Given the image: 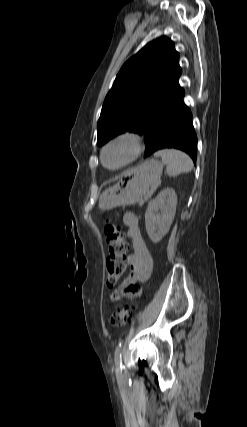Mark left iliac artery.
Returning <instances> with one entry per match:
<instances>
[{"mask_svg": "<svg viewBox=\"0 0 247 427\" xmlns=\"http://www.w3.org/2000/svg\"><path fill=\"white\" fill-rule=\"evenodd\" d=\"M122 344H123V341L121 340L115 349V359L114 360H115L116 369H118V370L122 369V357H121Z\"/></svg>", "mask_w": 247, "mask_h": 427, "instance_id": "left-iliac-artery-1", "label": "left iliac artery"}]
</instances>
